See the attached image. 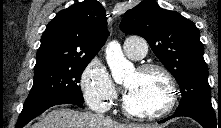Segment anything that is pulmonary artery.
I'll use <instances>...</instances> for the list:
<instances>
[{"instance_id":"1","label":"pulmonary artery","mask_w":221,"mask_h":128,"mask_svg":"<svg viewBox=\"0 0 221 128\" xmlns=\"http://www.w3.org/2000/svg\"><path fill=\"white\" fill-rule=\"evenodd\" d=\"M147 47L146 40L143 37L136 35L127 37L123 46L125 54L133 60H138L144 57Z\"/></svg>"}]
</instances>
